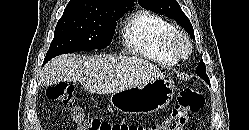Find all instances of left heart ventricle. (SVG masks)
<instances>
[{
	"label": "left heart ventricle",
	"mask_w": 249,
	"mask_h": 130,
	"mask_svg": "<svg viewBox=\"0 0 249 130\" xmlns=\"http://www.w3.org/2000/svg\"><path fill=\"white\" fill-rule=\"evenodd\" d=\"M179 50L182 52V53H185L187 51V47L185 44H180L179 45Z\"/></svg>",
	"instance_id": "left-heart-ventricle-1"
}]
</instances>
